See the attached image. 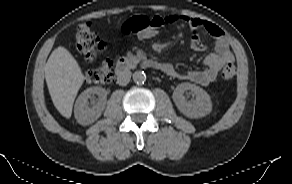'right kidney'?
Returning <instances> with one entry per match:
<instances>
[{"instance_id": "right-kidney-1", "label": "right kidney", "mask_w": 292, "mask_h": 184, "mask_svg": "<svg viewBox=\"0 0 292 184\" xmlns=\"http://www.w3.org/2000/svg\"><path fill=\"white\" fill-rule=\"evenodd\" d=\"M99 96V100H94V95ZM88 99H92L89 104ZM106 104V91L101 87H90L84 90L76 100L74 114L77 122L81 125H89L97 120L103 112Z\"/></svg>"}]
</instances>
